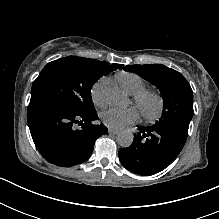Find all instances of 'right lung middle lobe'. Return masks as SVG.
Here are the masks:
<instances>
[{"label": "right lung middle lobe", "instance_id": "1", "mask_svg": "<svg viewBox=\"0 0 219 219\" xmlns=\"http://www.w3.org/2000/svg\"><path fill=\"white\" fill-rule=\"evenodd\" d=\"M122 67L75 56L52 61L33 82L31 98L53 99L76 112H93L92 86L103 75Z\"/></svg>", "mask_w": 219, "mask_h": 219}]
</instances>
